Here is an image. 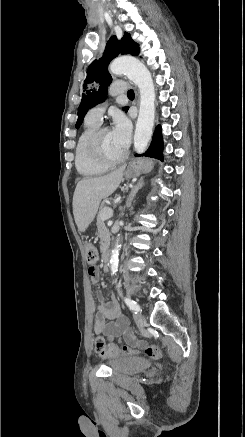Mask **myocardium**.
<instances>
[{"label": "myocardium", "instance_id": "1", "mask_svg": "<svg viewBox=\"0 0 245 437\" xmlns=\"http://www.w3.org/2000/svg\"><path fill=\"white\" fill-rule=\"evenodd\" d=\"M109 130L110 129L105 126L98 127L96 130H94L88 138L87 151L90 157L96 162L106 166H114L123 162L126 159L127 152L125 151L121 157L115 159L109 158L103 153L101 148V138L102 135Z\"/></svg>", "mask_w": 245, "mask_h": 437}]
</instances>
